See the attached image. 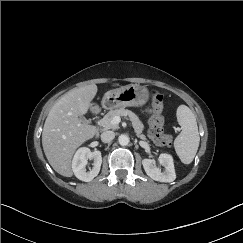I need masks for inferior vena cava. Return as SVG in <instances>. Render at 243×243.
Segmentation results:
<instances>
[{
    "label": "inferior vena cava",
    "instance_id": "602c4592",
    "mask_svg": "<svg viewBox=\"0 0 243 243\" xmlns=\"http://www.w3.org/2000/svg\"><path fill=\"white\" fill-rule=\"evenodd\" d=\"M115 137V133L113 131H105L101 134V140L104 143L111 142Z\"/></svg>",
    "mask_w": 243,
    "mask_h": 243
}]
</instances>
